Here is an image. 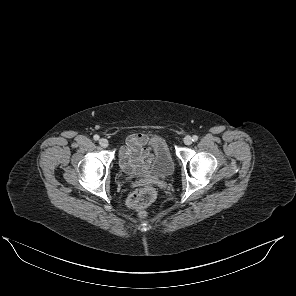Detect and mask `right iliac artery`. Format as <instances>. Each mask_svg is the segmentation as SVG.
<instances>
[{
  "label": "right iliac artery",
  "instance_id": "1",
  "mask_svg": "<svg viewBox=\"0 0 296 296\" xmlns=\"http://www.w3.org/2000/svg\"><path fill=\"white\" fill-rule=\"evenodd\" d=\"M93 138H94V140H96V141L99 140V136H98V135H94Z\"/></svg>",
  "mask_w": 296,
  "mask_h": 296
}]
</instances>
